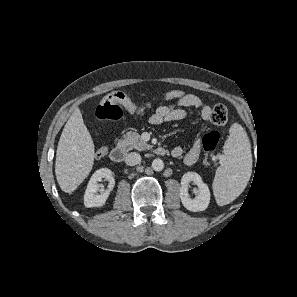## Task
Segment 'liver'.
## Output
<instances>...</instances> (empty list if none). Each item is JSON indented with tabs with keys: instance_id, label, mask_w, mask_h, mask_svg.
I'll use <instances>...</instances> for the list:
<instances>
[{
	"instance_id": "1",
	"label": "liver",
	"mask_w": 297,
	"mask_h": 297,
	"mask_svg": "<svg viewBox=\"0 0 297 297\" xmlns=\"http://www.w3.org/2000/svg\"><path fill=\"white\" fill-rule=\"evenodd\" d=\"M94 144L79 108L68 119L60 136L55 175L62 191L72 193L90 173L94 162Z\"/></svg>"
}]
</instances>
